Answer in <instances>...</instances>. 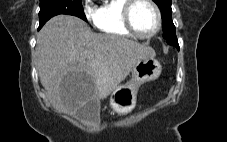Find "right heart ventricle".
<instances>
[{"instance_id": "obj_1", "label": "right heart ventricle", "mask_w": 227, "mask_h": 142, "mask_svg": "<svg viewBox=\"0 0 227 142\" xmlns=\"http://www.w3.org/2000/svg\"><path fill=\"white\" fill-rule=\"evenodd\" d=\"M126 0H106L96 10L94 24L96 28L107 35L131 37L122 19V10Z\"/></svg>"}]
</instances>
